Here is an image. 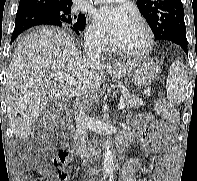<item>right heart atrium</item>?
<instances>
[{"label": "right heart atrium", "mask_w": 197, "mask_h": 181, "mask_svg": "<svg viewBox=\"0 0 197 181\" xmlns=\"http://www.w3.org/2000/svg\"><path fill=\"white\" fill-rule=\"evenodd\" d=\"M86 38L91 45L97 48H105L108 43L106 36L94 24L87 28Z\"/></svg>", "instance_id": "1"}]
</instances>
